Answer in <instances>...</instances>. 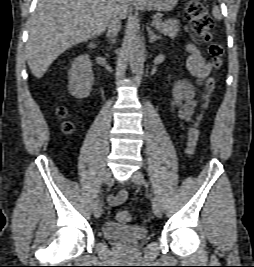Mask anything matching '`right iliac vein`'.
<instances>
[{"instance_id":"1","label":"right iliac vein","mask_w":254,"mask_h":267,"mask_svg":"<svg viewBox=\"0 0 254 267\" xmlns=\"http://www.w3.org/2000/svg\"><path fill=\"white\" fill-rule=\"evenodd\" d=\"M112 179V174H111V171L107 170L104 175H103V178H102V181L104 184H108ZM92 209H93V213L95 215V217H100L101 214H102V204H101V201L100 199H96L93 203V206H92Z\"/></svg>"}]
</instances>
